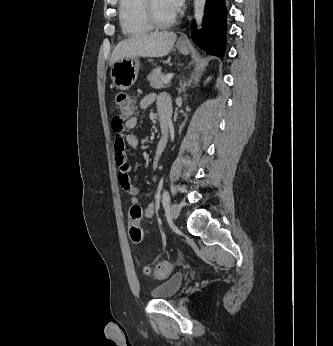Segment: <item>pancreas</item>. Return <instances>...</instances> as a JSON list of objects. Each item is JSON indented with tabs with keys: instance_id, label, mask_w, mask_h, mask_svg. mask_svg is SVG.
<instances>
[{
	"instance_id": "1",
	"label": "pancreas",
	"mask_w": 333,
	"mask_h": 346,
	"mask_svg": "<svg viewBox=\"0 0 333 346\" xmlns=\"http://www.w3.org/2000/svg\"><path fill=\"white\" fill-rule=\"evenodd\" d=\"M164 75L161 73V68L157 67L151 71V73L147 76V80L150 83L152 88L161 89L164 87L163 85Z\"/></svg>"
}]
</instances>
